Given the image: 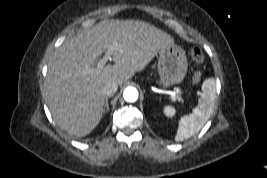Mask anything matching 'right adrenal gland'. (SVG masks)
<instances>
[{"instance_id":"right-adrenal-gland-1","label":"right adrenal gland","mask_w":267,"mask_h":178,"mask_svg":"<svg viewBox=\"0 0 267 178\" xmlns=\"http://www.w3.org/2000/svg\"><path fill=\"white\" fill-rule=\"evenodd\" d=\"M110 98V96L105 97V102H104V108H103V113H107L109 111V103H108V99Z\"/></svg>"}]
</instances>
